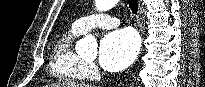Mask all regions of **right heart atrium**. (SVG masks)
<instances>
[{
    "label": "right heart atrium",
    "mask_w": 205,
    "mask_h": 87,
    "mask_svg": "<svg viewBox=\"0 0 205 87\" xmlns=\"http://www.w3.org/2000/svg\"><path fill=\"white\" fill-rule=\"evenodd\" d=\"M84 70L87 77H93L98 74V70L93 63H85Z\"/></svg>",
    "instance_id": "obj_1"
}]
</instances>
